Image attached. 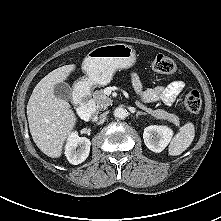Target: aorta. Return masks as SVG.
Here are the masks:
<instances>
[{
    "label": "aorta",
    "instance_id": "aorta-1",
    "mask_svg": "<svg viewBox=\"0 0 221 221\" xmlns=\"http://www.w3.org/2000/svg\"><path fill=\"white\" fill-rule=\"evenodd\" d=\"M127 116V110L122 107H117L114 110V117L117 119H124Z\"/></svg>",
    "mask_w": 221,
    "mask_h": 221
}]
</instances>
